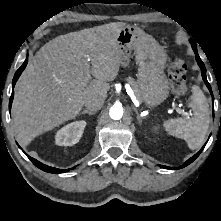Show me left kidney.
<instances>
[{"label": "left kidney", "instance_id": "left-kidney-1", "mask_svg": "<svg viewBox=\"0 0 221 221\" xmlns=\"http://www.w3.org/2000/svg\"><path fill=\"white\" fill-rule=\"evenodd\" d=\"M158 128L157 127H154V131H156Z\"/></svg>", "mask_w": 221, "mask_h": 221}]
</instances>
